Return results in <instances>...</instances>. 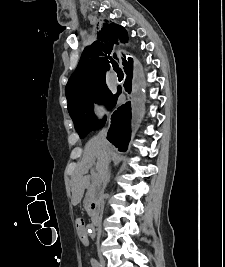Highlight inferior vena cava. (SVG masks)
Here are the masks:
<instances>
[{
    "label": "inferior vena cava",
    "instance_id": "obj_1",
    "mask_svg": "<svg viewBox=\"0 0 225 267\" xmlns=\"http://www.w3.org/2000/svg\"><path fill=\"white\" fill-rule=\"evenodd\" d=\"M106 136H107V130L103 129L95 137V140L107 148L108 142H107ZM109 159H110V156L107 155L106 164L103 170L101 171V173L99 174V176L96 178L97 202H98V210L100 213H102L104 209V190L110 178L109 171H108Z\"/></svg>",
    "mask_w": 225,
    "mask_h": 267
}]
</instances>
